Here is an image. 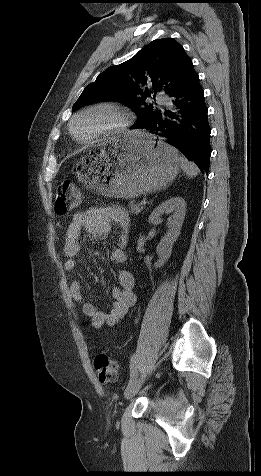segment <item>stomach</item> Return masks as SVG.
Returning <instances> with one entry per match:
<instances>
[{
  "label": "stomach",
  "mask_w": 261,
  "mask_h": 476,
  "mask_svg": "<svg viewBox=\"0 0 261 476\" xmlns=\"http://www.w3.org/2000/svg\"><path fill=\"white\" fill-rule=\"evenodd\" d=\"M72 169L98 193L131 199L165 188L177 176L180 160L162 139L132 132L89 151Z\"/></svg>",
  "instance_id": "0dacf381"
}]
</instances>
